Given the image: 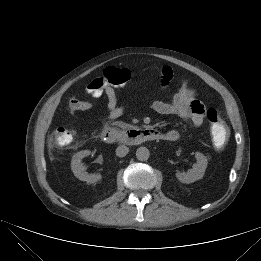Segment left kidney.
<instances>
[{
	"label": "left kidney",
	"instance_id": "5707ae66",
	"mask_svg": "<svg viewBox=\"0 0 261 261\" xmlns=\"http://www.w3.org/2000/svg\"><path fill=\"white\" fill-rule=\"evenodd\" d=\"M195 158L197 161L189 172L176 173V177L182 183H193L204 176L208 164L207 158L200 152H195Z\"/></svg>",
	"mask_w": 261,
	"mask_h": 261
}]
</instances>
